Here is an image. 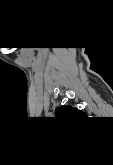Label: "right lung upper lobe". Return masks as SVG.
I'll return each mask as SVG.
<instances>
[{"label":"right lung upper lobe","instance_id":"1","mask_svg":"<svg viewBox=\"0 0 113 165\" xmlns=\"http://www.w3.org/2000/svg\"><path fill=\"white\" fill-rule=\"evenodd\" d=\"M56 115L58 117L70 119V118H75L76 116H79V115L84 116V113L77 108L67 105V106L60 107L57 110Z\"/></svg>","mask_w":113,"mask_h":165}]
</instances>
